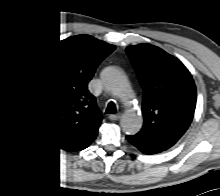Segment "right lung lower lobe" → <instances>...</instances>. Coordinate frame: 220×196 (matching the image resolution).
<instances>
[{"mask_svg": "<svg viewBox=\"0 0 220 196\" xmlns=\"http://www.w3.org/2000/svg\"><path fill=\"white\" fill-rule=\"evenodd\" d=\"M93 140H94V139H93ZM93 140H92V141H93ZM92 141H90V142H92ZM90 142H89V143H90ZM89 143H88V144H89ZM85 146H86V145H85ZM85 146H83V147H81V148H78L77 150L83 149V148H85Z\"/></svg>", "mask_w": 220, "mask_h": 196, "instance_id": "1", "label": "right lung lower lobe"}]
</instances>
